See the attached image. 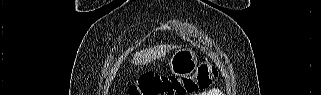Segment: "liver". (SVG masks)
<instances>
[{
  "label": "liver",
  "mask_w": 321,
  "mask_h": 95,
  "mask_svg": "<svg viewBox=\"0 0 321 95\" xmlns=\"http://www.w3.org/2000/svg\"><path fill=\"white\" fill-rule=\"evenodd\" d=\"M172 45H159L145 50L138 51L134 54L133 63L135 65H144L155 59L163 57L167 52L173 49Z\"/></svg>",
  "instance_id": "6515ba94"
}]
</instances>
